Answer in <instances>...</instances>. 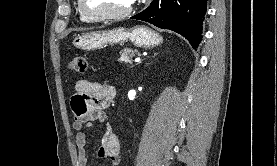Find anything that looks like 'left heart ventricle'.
<instances>
[{
  "instance_id": "b2bd125f",
  "label": "left heart ventricle",
  "mask_w": 277,
  "mask_h": 166,
  "mask_svg": "<svg viewBox=\"0 0 277 166\" xmlns=\"http://www.w3.org/2000/svg\"><path fill=\"white\" fill-rule=\"evenodd\" d=\"M133 0H84L87 10L93 13H119L126 10Z\"/></svg>"
}]
</instances>
